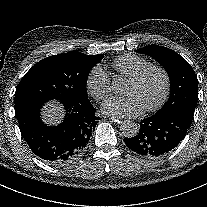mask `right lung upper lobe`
<instances>
[{"instance_id": "cb5924a9", "label": "right lung upper lobe", "mask_w": 207, "mask_h": 207, "mask_svg": "<svg viewBox=\"0 0 207 207\" xmlns=\"http://www.w3.org/2000/svg\"><path fill=\"white\" fill-rule=\"evenodd\" d=\"M71 52H74V53H78V54H81L83 56H86V57H89V58H92V59H102L103 58V55H85L83 53H80V52H77V51H71Z\"/></svg>"}]
</instances>
